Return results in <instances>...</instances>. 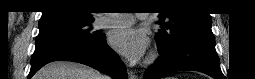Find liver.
<instances>
[{"label":"liver","mask_w":255,"mask_h":79,"mask_svg":"<svg viewBox=\"0 0 255 79\" xmlns=\"http://www.w3.org/2000/svg\"><path fill=\"white\" fill-rule=\"evenodd\" d=\"M93 68L70 61H55L45 65L34 79H103Z\"/></svg>","instance_id":"liver-1"}]
</instances>
